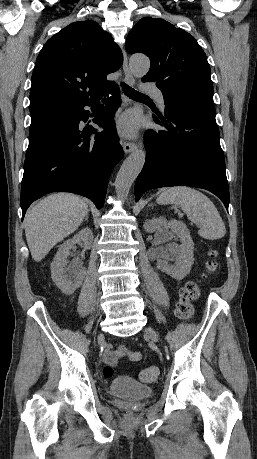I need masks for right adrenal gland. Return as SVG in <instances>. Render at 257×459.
<instances>
[{
    "instance_id": "1",
    "label": "right adrenal gland",
    "mask_w": 257,
    "mask_h": 459,
    "mask_svg": "<svg viewBox=\"0 0 257 459\" xmlns=\"http://www.w3.org/2000/svg\"><path fill=\"white\" fill-rule=\"evenodd\" d=\"M84 220L87 221L88 220V216H86Z\"/></svg>"
}]
</instances>
